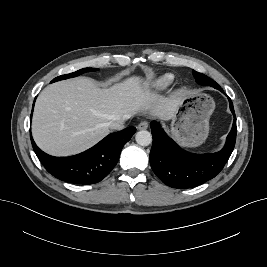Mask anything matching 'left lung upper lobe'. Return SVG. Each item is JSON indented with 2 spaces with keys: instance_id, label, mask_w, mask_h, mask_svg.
Wrapping results in <instances>:
<instances>
[{
  "instance_id": "left-lung-upper-lobe-1",
  "label": "left lung upper lobe",
  "mask_w": 267,
  "mask_h": 267,
  "mask_svg": "<svg viewBox=\"0 0 267 267\" xmlns=\"http://www.w3.org/2000/svg\"><path fill=\"white\" fill-rule=\"evenodd\" d=\"M194 77H195L196 82L201 85H207V86H211L214 88L215 86H219L215 81H213L212 79H210L209 77H207L206 75L202 73L194 71Z\"/></svg>"
}]
</instances>
